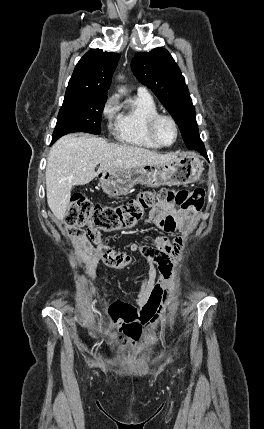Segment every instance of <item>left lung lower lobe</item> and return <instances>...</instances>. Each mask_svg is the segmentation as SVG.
<instances>
[{
    "label": "left lung lower lobe",
    "instance_id": "left-lung-lower-lobe-1",
    "mask_svg": "<svg viewBox=\"0 0 264 429\" xmlns=\"http://www.w3.org/2000/svg\"><path fill=\"white\" fill-rule=\"evenodd\" d=\"M197 151H200L202 155L206 156V151L203 149H198Z\"/></svg>",
    "mask_w": 264,
    "mask_h": 429
}]
</instances>
